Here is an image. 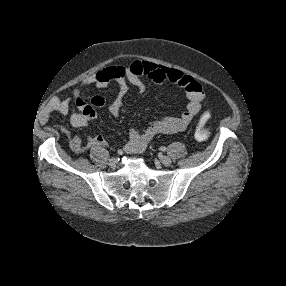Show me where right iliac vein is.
I'll use <instances>...</instances> for the list:
<instances>
[{
    "mask_svg": "<svg viewBox=\"0 0 286 286\" xmlns=\"http://www.w3.org/2000/svg\"><path fill=\"white\" fill-rule=\"evenodd\" d=\"M109 166L111 168H115L116 167V164H117V161H116V158H111L108 162Z\"/></svg>",
    "mask_w": 286,
    "mask_h": 286,
    "instance_id": "1",
    "label": "right iliac vein"
}]
</instances>
